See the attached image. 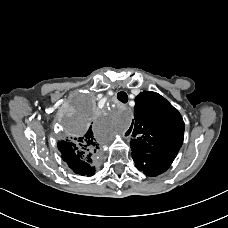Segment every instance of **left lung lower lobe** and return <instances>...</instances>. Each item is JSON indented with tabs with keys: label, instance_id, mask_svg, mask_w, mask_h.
I'll return each instance as SVG.
<instances>
[{
	"label": "left lung lower lobe",
	"instance_id": "left-lung-lower-lobe-1",
	"mask_svg": "<svg viewBox=\"0 0 228 228\" xmlns=\"http://www.w3.org/2000/svg\"><path fill=\"white\" fill-rule=\"evenodd\" d=\"M138 170L143 171L148 176H157L166 171L173 160L158 158V157H146L143 160L134 159Z\"/></svg>",
	"mask_w": 228,
	"mask_h": 228
}]
</instances>
